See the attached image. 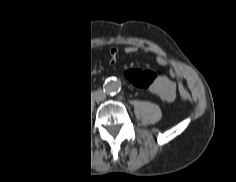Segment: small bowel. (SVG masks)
Masks as SVG:
<instances>
[{"instance_id": "small-bowel-1", "label": "small bowel", "mask_w": 236, "mask_h": 182, "mask_svg": "<svg viewBox=\"0 0 236 182\" xmlns=\"http://www.w3.org/2000/svg\"><path fill=\"white\" fill-rule=\"evenodd\" d=\"M139 50L154 53L156 55V62L159 65L164 66L169 63L166 53H164L163 51H156V49L150 45H147L144 47H139L138 45H128L124 49V51L127 54H133V53L138 52ZM118 53H119L118 48L113 47L110 49L109 55H110L111 62L113 63L116 62L118 58ZM92 73L95 74L96 71L94 70ZM170 76L172 78L177 77L179 76V72L175 68H172L170 71ZM88 84L90 83H88L87 81H84L82 83V88L83 89L88 88V86H90ZM178 88H179V85H178ZM149 90L151 93L159 96L165 102H173L177 95L176 83L165 75H158L155 73H154V79L149 87Z\"/></svg>"}]
</instances>
